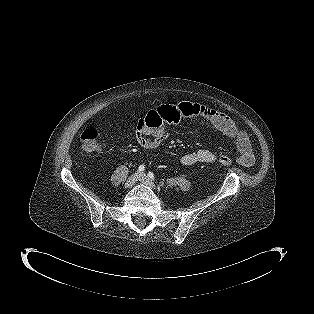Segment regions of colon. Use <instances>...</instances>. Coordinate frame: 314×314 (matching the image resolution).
Masks as SVG:
<instances>
[{
  "label": "colon",
  "instance_id": "colon-1",
  "mask_svg": "<svg viewBox=\"0 0 314 314\" xmlns=\"http://www.w3.org/2000/svg\"><path fill=\"white\" fill-rule=\"evenodd\" d=\"M101 133L96 127H89L81 134V148L86 154H95L101 151L102 145L100 142ZM217 161L225 166L232 164V160L225 154L217 155Z\"/></svg>",
  "mask_w": 314,
  "mask_h": 314
}]
</instances>
